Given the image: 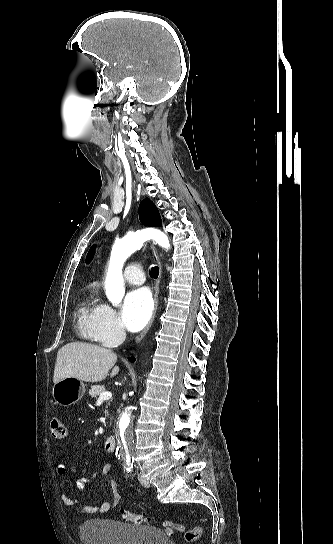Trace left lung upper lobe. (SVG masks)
<instances>
[{"instance_id":"left-lung-upper-lobe-1","label":"left lung upper lobe","mask_w":333,"mask_h":544,"mask_svg":"<svg viewBox=\"0 0 333 544\" xmlns=\"http://www.w3.org/2000/svg\"><path fill=\"white\" fill-rule=\"evenodd\" d=\"M139 218L140 221L147 226H161V217L156 206L148 198L141 201L139 206ZM95 251V246H92L87 255V262H89Z\"/></svg>"}]
</instances>
